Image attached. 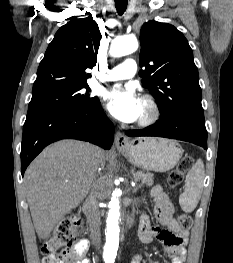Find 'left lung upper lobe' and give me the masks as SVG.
<instances>
[{
	"label": "left lung upper lobe",
	"instance_id": "5c2ea615",
	"mask_svg": "<svg viewBox=\"0 0 233 263\" xmlns=\"http://www.w3.org/2000/svg\"><path fill=\"white\" fill-rule=\"evenodd\" d=\"M142 84L155 97L160 118L203 113L198 69L187 39L173 25L148 21L140 32Z\"/></svg>",
	"mask_w": 233,
	"mask_h": 263
}]
</instances>
